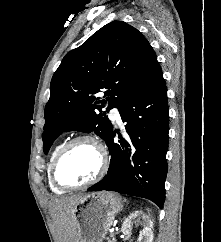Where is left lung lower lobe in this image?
Here are the masks:
<instances>
[{"instance_id": "1", "label": "left lung lower lobe", "mask_w": 221, "mask_h": 242, "mask_svg": "<svg viewBox=\"0 0 221 242\" xmlns=\"http://www.w3.org/2000/svg\"><path fill=\"white\" fill-rule=\"evenodd\" d=\"M126 133L113 128L105 142L111 155L107 175L88 191H116L147 198L163 208L167 175L169 108L167 88L159 66L119 107Z\"/></svg>"}]
</instances>
